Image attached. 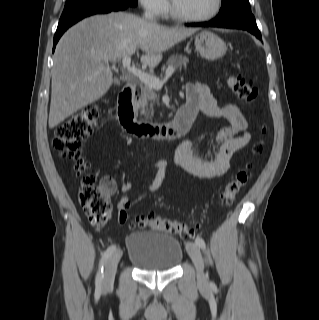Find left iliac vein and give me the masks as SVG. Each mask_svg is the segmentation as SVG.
<instances>
[{
    "mask_svg": "<svg viewBox=\"0 0 319 320\" xmlns=\"http://www.w3.org/2000/svg\"><path fill=\"white\" fill-rule=\"evenodd\" d=\"M186 249L196 267L198 283L205 285L207 283V277L204 273V264L199 246L194 242H187Z\"/></svg>",
    "mask_w": 319,
    "mask_h": 320,
    "instance_id": "left-iliac-vein-1",
    "label": "left iliac vein"
}]
</instances>
